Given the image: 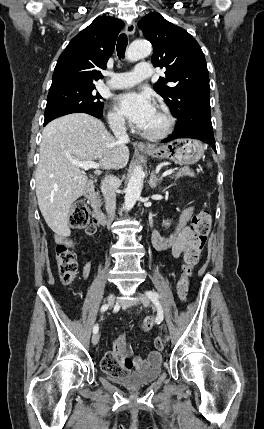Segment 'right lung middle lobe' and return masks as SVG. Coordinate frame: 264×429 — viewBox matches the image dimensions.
<instances>
[{
    "instance_id": "dd1d6c3e",
    "label": "right lung middle lobe",
    "mask_w": 264,
    "mask_h": 429,
    "mask_svg": "<svg viewBox=\"0 0 264 429\" xmlns=\"http://www.w3.org/2000/svg\"><path fill=\"white\" fill-rule=\"evenodd\" d=\"M95 85H66L50 89L45 109V121L71 113H87L102 117L103 103Z\"/></svg>"
}]
</instances>
